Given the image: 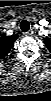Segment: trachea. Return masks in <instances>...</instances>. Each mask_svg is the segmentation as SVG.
<instances>
[{"label":"trachea","instance_id":"3493384b","mask_svg":"<svg viewBox=\"0 0 51 101\" xmlns=\"http://www.w3.org/2000/svg\"><path fill=\"white\" fill-rule=\"evenodd\" d=\"M20 28L22 31H28L30 28V24L27 20H22L20 23Z\"/></svg>","mask_w":51,"mask_h":101}]
</instances>
